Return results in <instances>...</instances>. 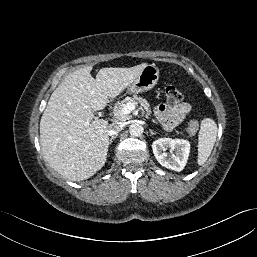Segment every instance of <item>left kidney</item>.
Returning <instances> with one entry per match:
<instances>
[{"label": "left kidney", "mask_w": 257, "mask_h": 257, "mask_svg": "<svg viewBox=\"0 0 257 257\" xmlns=\"http://www.w3.org/2000/svg\"><path fill=\"white\" fill-rule=\"evenodd\" d=\"M152 149L155 158L162 166L179 172L187 163L190 143L183 139L160 138L152 143ZM167 149L175 151V154L168 156Z\"/></svg>", "instance_id": "obj_1"}]
</instances>
